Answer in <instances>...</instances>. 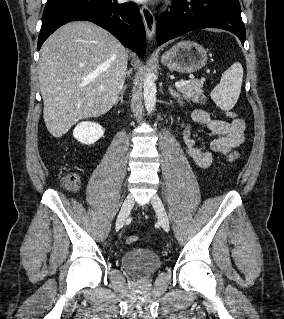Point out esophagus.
<instances>
[{"instance_id": "obj_1", "label": "esophagus", "mask_w": 284, "mask_h": 319, "mask_svg": "<svg viewBox=\"0 0 284 319\" xmlns=\"http://www.w3.org/2000/svg\"><path fill=\"white\" fill-rule=\"evenodd\" d=\"M145 30H146V35L149 41L152 40L154 33H155V17L153 12L149 9L148 6L143 5L140 9Z\"/></svg>"}]
</instances>
